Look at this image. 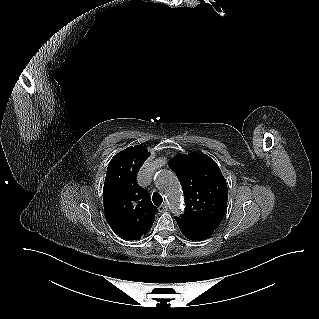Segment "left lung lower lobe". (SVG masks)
I'll return each instance as SVG.
<instances>
[{"label": "left lung lower lobe", "instance_id": "1", "mask_svg": "<svg viewBox=\"0 0 319 319\" xmlns=\"http://www.w3.org/2000/svg\"><path fill=\"white\" fill-rule=\"evenodd\" d=\"M175 219L182 234L190 240L200 241L209 237L214 232L213 229L198 227L177 217Z\"/></svg>", "mask_w": 319, "mask_h": 319}]
</instances>
